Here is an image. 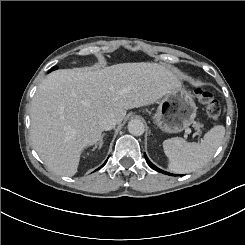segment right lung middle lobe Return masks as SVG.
Wrapping results in <instances>:
<instances>
[{
  "mask_svg": "<svg viewBox=\"0 0 245 245\" xmlns=\"http://www.w3.org/2000/svg\"><path fill=\"white\" fill-rule=\"evenodd\" d=\"M55 69H57V67H53L49 72H51V71H53V70H55Z\"/></svg>",
  "mask_w": 245,
  "mask_h": 245,
  "instance_id": "dd1d6c3e",
  "label": "right lung middle lobe"
}]
</instances>
